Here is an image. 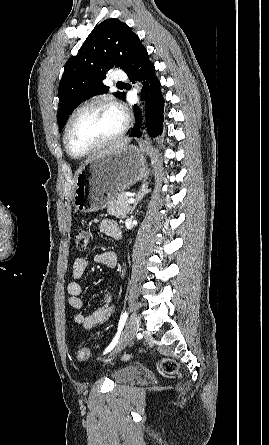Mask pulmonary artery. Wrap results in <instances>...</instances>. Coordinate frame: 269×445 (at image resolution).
I'll return each mask as SVG.
<instances>
[{
  "label": "pulmonary artery",
  "instance_id": "e3ab8cb5",
  "mask_svg": "<svg viewBox=\"0 0 269 445\" xmlns=\"http://www.w3.org/2000/svg\"><path fill=\"white\" fill-rule=\"evenodd\" d=\"M112 78L115 81H123V80L126 79V75L123 72H121V71H116V72H114Z\"/></svg>",
  "mask_w": 269,
  "mask_h": 445
}]
</instances>
